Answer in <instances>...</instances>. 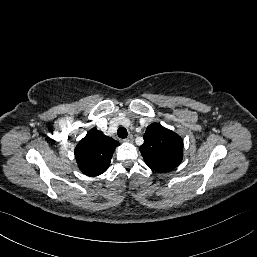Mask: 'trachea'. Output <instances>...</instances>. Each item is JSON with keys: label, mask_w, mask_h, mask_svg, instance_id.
<instances>
[{"label": "trachea", "mask_w": 257, "mask_h": 257, "mask_svg": "<svg viewBox=\"0 0 257 257\" xmlns=\"http://www.w3.org/2000/svg\"><path fill=\"white\" fill-rule=\"evenodd\" d=\"M117 134H118V136H119L120 138L124 139V138L127 137L128 132H127L126 128L120 127V128H118V130H117Z\"/></svg>", "instance_id": "3493384b"}]
</instances>
